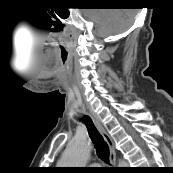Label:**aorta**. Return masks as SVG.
<instances>
[{
    "label": "aorta",
    "instance_id": "aorta-1",
    "mask_svg": "<svg viewBox=\"0 0 173 173\" xmlns=\"http://www.w3.org/2000/svg\"><path fill=\"white\" fill-rule=\"evenodd\" d=\"M91 147L86 139L74 140L65 150L60 165L63 167H83L90 155ZM123 160L119 161V165H126Z\"/></svg>",
    "mask_w": 173,
    "mask_h": 173
}]
</instances>
